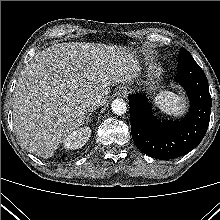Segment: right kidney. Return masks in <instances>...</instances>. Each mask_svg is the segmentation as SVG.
<instances>
[{"label": "right kidney", "mask_w": 220, "mask_h": 220, "mask_svg": "<svg viewBox=\"0 0 220 220\" xmlns=\"http://www.w3.org/2000/svg\"><path fill=\"white\" fill-rule=\"evenodd\" d=\"M91 136V129L89 127H82L66 136L63 140L65 149H78L83 147Z\"/></svg>", "instance_id": "1"}]
</instances>
